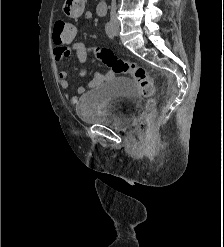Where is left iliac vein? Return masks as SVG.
<instances>
[{
	"label": "left iliac vein",
	"instance_id": "obj_1",
	"mask_svg": "<svg viewBox=\"0 0 224 247\" xmlns=\"http://www.w3.org/2000/svg\"><path fill=\"white\" fill-rule=\"evenodd\" d=\"M118 32H119V27H118V26H116V27H115V34L117 35V34H118Z\"/></svg>",
	"mask_w": 224,
	"mask_h": 247
}]
</instances>
